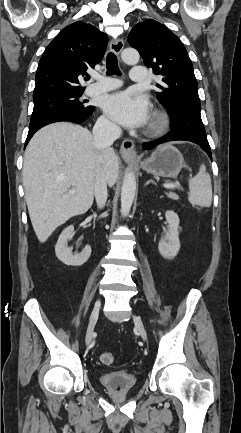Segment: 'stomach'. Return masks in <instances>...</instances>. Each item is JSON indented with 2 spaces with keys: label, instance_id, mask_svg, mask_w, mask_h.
<instances>
[{
  "label": "stomach",
  "instance_id": "stomach-1",
  "mask_svg": "<svg viewBox=\"0 0 241 433\" xmlns=\"http://www.w3.org/2000/svg\"><path fill=\"white\" fill-rule=\"evenodd\" d=\"M181 153L171 144L159 146L141 162L144 171L156 177H176L183 168Z\"/></svg>",
  "mask_w": 241,
  "mask_h": 433
}]
</instances>
